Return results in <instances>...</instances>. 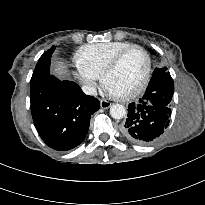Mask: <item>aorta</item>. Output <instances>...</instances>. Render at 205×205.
<instances>
[{
    "label": "aorta",
    "instance_id": "obj_1",
    "mask_svg": "<svg viewBox=\"0 0 205 205\" xmlns=\"http://www.w3.org/2000/svg\"><path fill=\"white\" fill-rule=\"evenodd\" d=\"M110 115L114 119H122L126 116V109L121 104H113L110 107Z\"/></svg>",
    "mask_w": 205,
    "mask_h": 205
}]
</instances>
